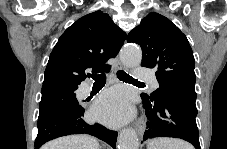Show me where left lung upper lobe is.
Here are the masks:
<instances>
[{"label":"left lung upper lobe","mask_w":227,"mask_h":149,"mask_svg":"<svg viewBox=\"0 0 227 149\" xmlns=\"http://www.w3.org/2000/svg\"><path fill=\"white\" fill-rule=\"evenodd\" d=\"M142 48V66L156 69L159 88L152 100L177 96L196 101L195 59L186 36L166 17L150 13L127 36Z\"/></svg>","instance_id":"obj_1"}]
</instances>
